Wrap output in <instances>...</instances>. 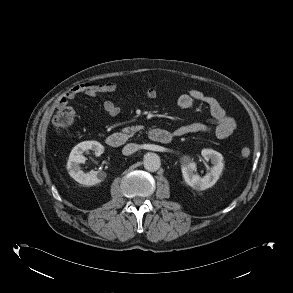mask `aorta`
Wrapping results in <instances>:
<instances>
[{"label": "aorta", "mask_w": 293, "mask_h": 293, "mask_svg": "<svg viewBox=\"0 0 293 293\" xmlns=\"http://www.w3.org/2000/svg\"><path fill=\"white\" fill-rule=\"evenodd\" d=\"M144 168L150 172H155L160 168L161 160L156 153H147L143 159Z\"/></svg>", "instance_id": "aorta-1"}]
</instances>
